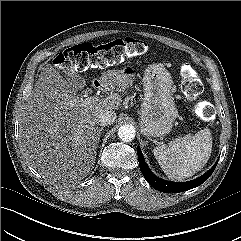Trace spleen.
Returning <instances> with one entry per match:
<instances>
[{
    "instance_id": "obj_1",
    "label": "spleen",
    "mask_w": 241,
    "mask_h": 241,
    "mask_svg": "<svg viewBox=\"0 0 241 241\" xmlns=\"http://www.w3.org/2000/svg\"><path fill=\"white\" fill-rule=\"evenodd\" d=\"M212 151L209 129L171 141L154 148L153 153L164 173L172 180L182 181L200 171Z\"/></svg>"
}]
</instances>
